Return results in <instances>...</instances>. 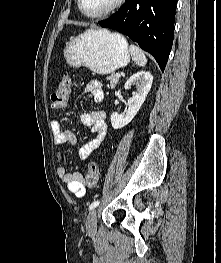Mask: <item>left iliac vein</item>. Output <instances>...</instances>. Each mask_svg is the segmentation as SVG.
<instances>
[{
    "instance_id": "1",
    "label": "left iliac vein",
    "mask_w": 221,
    "mask_h": 263,
    "mask_svg": "<svg viewBox=\"0 0 221 263\" xmlns=\"http://www.w3.org/2000/svg\"><path fill=\"white\" fill-rule=\"evenodd\" d=\"M86 229L89 233H95L97 230V210L92 209L87 216Z\"/></svg>"
}]
</instances>
